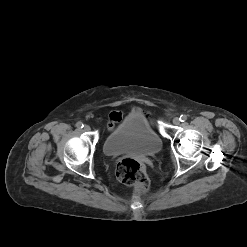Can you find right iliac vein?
Here are the masks:
<instances>
[{"instance_id": "obj_1", "label": "right iliac vein", "mask_w": 247, "mask_h": 247, "mask_svg": "<svg viewBox=\"0 0 247 247\" xmlns=\"http://www.w3.org/2000/svg\"><path fill=\"white\" fill-rule=\"evenodd\" d=\"M90 129H91V128H90L89 125H85V126H84V131H90Z\"/></svg>"}]
</instances>
